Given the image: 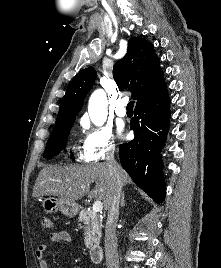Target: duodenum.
Wrapping results in <instances>:
<instances>
[{
    "label": "duodenum",
    "instance_id": "1",
    "mask_svg": "<svg viewBox=\"0 0 221 268\" xmlns=\"http://www.w3.org/2000/svg\"><path fill=\"white\" fill-rule=\"evenodd\" d=\"M90 259L94 263L102 261L104 257V250L100 245H93L89 251Z\"/></svg>",
    "mask_w": 221,
    "mask_h": 268
}]
</instances>
